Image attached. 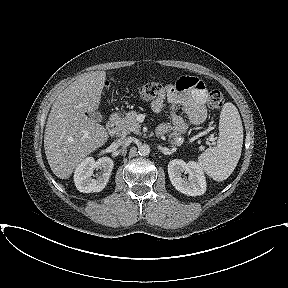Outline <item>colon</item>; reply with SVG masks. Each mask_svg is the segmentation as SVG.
<instances>
[{
    "label": "colon",
    "mask_w": 288,
    "mask_h": 288,
    "mask_svg": "<svg viewBox=\"0 0 288 288\" xmlns=\"http://www.w3.org/2000/svg\"><path fill=\"white\" fill-rule=\"evenodd\" d=\"M172 85L156 82L145 83L137 88V94L141 100L150 101L168 93ZM224 103V96L219 90H213L208 95V105L212 109L220 108Z\"/></svg>",
    "instance_id": "obj_1"
}]
</instances>
